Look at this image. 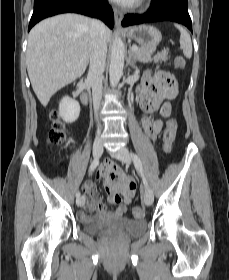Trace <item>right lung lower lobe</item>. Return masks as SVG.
Segmentation results:
<instances>
[{"label": "right lung lower lobe", "instance_id": "98d812e1", "mask_svg": "<svg viewBox=\"0 0 229 280\" xmlns=\"http://www.w3.org/2000/svg\"><path fill=\"white\" fill-rule=\"evenodd\" d=\"M67 12L99 18L111 29L114 26L113 11L107 0H34L28 30L44 18Z\"/></svg>", "mask_w": 229, "mask_h": 280}]
</instances>
